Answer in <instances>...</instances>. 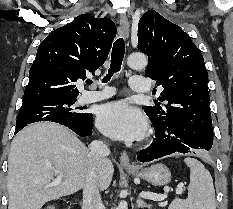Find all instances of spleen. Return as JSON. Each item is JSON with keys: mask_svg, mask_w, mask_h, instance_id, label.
<instances>
[{"mask_svg": "<svg viewBox=\"0 0 233 209\" xmlns=\"http://www.w3.org/2000/svg\"><path fill=\"white\" fill-rule=\"evenodd\" d=\"M190 168V184L186 200L175 199L168 209H216L215 190L209 171L195 158H185Z\"/></svg>", "mask_w": 233, "mask_h": 209, "instance_id": "spleen-1", "label": "spleen"}]
</instances>
